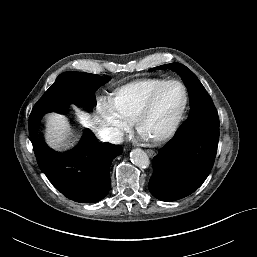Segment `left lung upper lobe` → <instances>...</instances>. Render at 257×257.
I'll use <instances>...</instances> for the list:
<instances>
[{
  "instance_id": "obj_1",
  "label": "left lung upper lobe",
  "mask_w": 257,
  "mask_h": 257,
  "mask_svg": "<svg viewBox=\"0 0 257 257\" xmlns=\"http://www.w3.org/2000/svg\"><path fill=\"white\" fill-rule=\"evenodd\" d=\"M177 70L189 88L191 110L188 119L181 125L173 138L193 136L204 126L218 127L219 118L213 101L201 82L186 66L171 63L155 67L154 69Z\"/></svg>"
}]
</instances>
